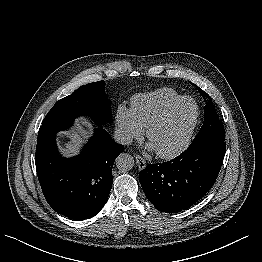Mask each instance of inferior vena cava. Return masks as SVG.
<instances>
[{"label": "inferior vena cava", "instance_id": "1", "mask_svg": "<svg viewBox=\"0 0 262 262\" xmlns=\"http://www.w3.org/2000/svg\"><path fill=\"white\" fill-rule=\"evenodd\" d=\"M114 139L122 145H129L132 142V137L128 133L118 129L114 132Z\"/></svg>", "mask_w": 262, "mask_h": 262}]
</instances>
